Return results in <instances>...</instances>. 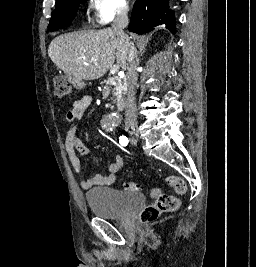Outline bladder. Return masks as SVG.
<instances>
[{"mask_svg": "<svg viewBox=\"0 0 256 267\" xmlns=\"http://www.w3.org/2000/svg\"><path fill=\"white\" fill-rule=\"evenodd\" d=\"M85 200L94 216L105 219L121 218L137 205H143L144 195H124L122 190L98 188L90 190Z\"/></svg>", "mask_w": 256, "mask_h": 267, "instance_id": "31cf9c89", "label": "bladder"}]
</instances>
